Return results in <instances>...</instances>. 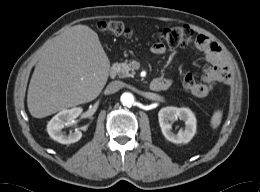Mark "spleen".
<instances>
[{
    "instance_id": "1",
    "label": "spleen",
    "mask_w": 260,
    "mask_h": 192,
    "mask_svg": "<svg viewBox=\"0 0 260 192\" xmlns=\"http://www.w3.org/2000/svg\"><path fill=\"white\" fill-rule=\"evenodd\" d=\"M222 119V112L221 111H215L211 117L210 125L213 129L217 128Z\"/></svg>"
}]
</instances>
